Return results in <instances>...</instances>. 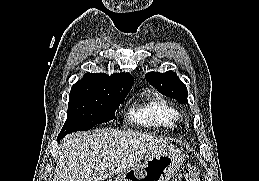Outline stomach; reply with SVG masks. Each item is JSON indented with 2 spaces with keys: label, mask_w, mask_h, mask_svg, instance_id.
<instances>
[{
  "label": "stomach",
  "mask_w": 259,
  "mask_h": 181,
  "mask_svg": "<svg viewBox=\"0 0 259 181\" xmlns=\"http://www.w3.org/2000/svg\"><path fill=\"white\" fill-rule=\"evenodd\" d=\"M182 162L181 151L175 146H169L120 173L115 181H169Z\"/></svg>",
  "instance_id": "0dacf381"
}]
</instances>
